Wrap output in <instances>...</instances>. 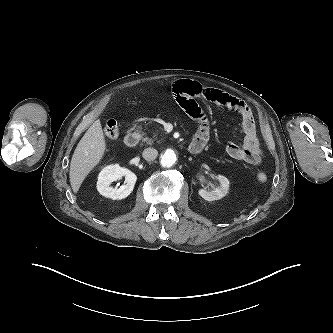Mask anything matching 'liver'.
<instances>
[{"instance_id": "1", "label": "liver", "mask_w": 333, "mask_h": 333, "mask_svg": "<svg viewBox=\"0 0 333 333\" xmlns=\"http://www.w3.org/2000/svg\"><path fill=\"white\" fill-rule=\"evenodd\" d=\"M106 150L105 137L100 120H96L78 143L69 170L70 184L74 193L90 171L101 161Z\"/></svg>"}]
</instances>
